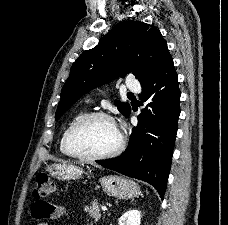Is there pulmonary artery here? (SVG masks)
<instances>
[{
    "instance_id": "pulmonary-artery-1",
    "label": "pulmonary artery",
    "mask_w": 228,
    "mask_h": 225,
    "mask_svg": "<svg viewBox=\"0 0 228 225\" xmlns=\"http://www.w3.org/2000/svg\"><path fill=\"white\" fill-rule=\"evenodd\" d=\"M127 80H134V75H127ZM124 85L127 86L128 90H141L140 81H125Z\"/></svg>"
}]
</instances>
